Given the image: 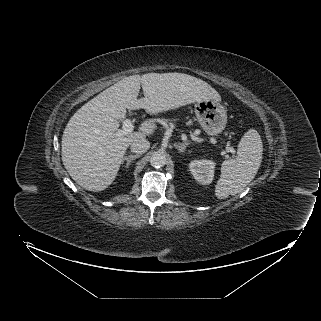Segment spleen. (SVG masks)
<instances>
[{
    "label": "spleen",
    "instance_id": "1",
    "mask_svg": "<svg viewBox=\"0 0 321 321\" xmlns=\"http://www.w3.org/2000/svg\"><path fill=\"white\" fill-rule=\"evenodd\" d=\"M263 145L255 129L248 130L241 138L237 157L225 160L221 176L215 187L218 199L240 193L255 177L262 162Z\"/></svg>",
    "mask_w": 321,
    "mask_h": 321
}]
</instances>
